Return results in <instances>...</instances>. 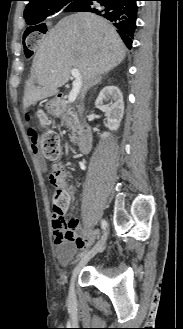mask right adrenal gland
Listing matches in <instances>:
<instances>
[{
    "label": "right adrenal gland",
    "mask_w": 183,
    "mask_h": 329,
    "mask_svg": "<svg viewBox=\"0 0 183 329\" xmlns=\"http://www.w3.org/2000/svg\"><path fill=\"white\" fill-rule=\"evenodd\" d=\"M101 83H102V81L100 80L99 83H98V85L101 84Z\"/></svg>",
    "instance_id": "2a0ac1e0"
}]
</instances>
